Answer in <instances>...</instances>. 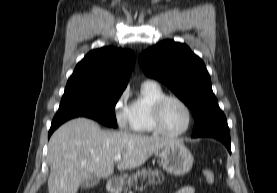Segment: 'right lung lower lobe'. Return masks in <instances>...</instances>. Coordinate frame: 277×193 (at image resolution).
I'll list each match as a JSON object with an SVG mask.
<instances>
[{
  "label": "right lung lower lobe",
  "instance_id": "obj_1",
  "mask_svg": "<svg viewBox=\"0 0 277 193\" xmlns=\"http://www.w3.org/2000/svg\"><path fill=\"white\" fill-rule=\"evenodd\" d=\"M71 118H74V117H54L52 124H51V128L48 133V138L51 136V134L53 133V131L55 129H57L62 123H64L65 121H67Z\"/></svg>",
  "mask_w": 277,
  "mask_h": 193
}]
</instances>
